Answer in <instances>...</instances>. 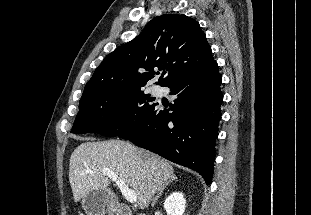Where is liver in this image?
Wrapping results in <instances>:
<instances>
[{"label":"liver","instance_id":"6515ba94","mask_svg":"<svg viewBox=\"0 0 311 215\" xmlns=\"http://www.w3.org/2000/svg\"><path fill=\"white\" fill-rule=\"evenodd\" d=\"M103 169L113 171L132 188L140 209L148 207L154 194L174 172L166 160L129 142L87 140L73 151L70 158L69 182L75 202L92 189L108 188L111 181L102 174Z\"/></svg>","mask_w":311,"mask_h":215}]
</instances>
